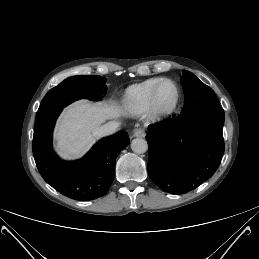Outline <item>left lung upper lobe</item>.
Masks as SVG:
<instances>
[{
    "instance_id": "5c2ea615",
    "label": "left lung upper lobe",
    "mask_w": 259,
    "mask_h": 259,
    "mask_svg": "<svg viewBox=\"0 0 259 259\" xmlns=\"http://www.w3.org/2000/svg\"><path fill=\"white\" fill-rule=\"evenodd\" d=\"M185 92V103L181 114H188L208 107H220L214 91L189 71H183L180 79Z\"/></svg>"
}]
</instances>
